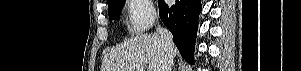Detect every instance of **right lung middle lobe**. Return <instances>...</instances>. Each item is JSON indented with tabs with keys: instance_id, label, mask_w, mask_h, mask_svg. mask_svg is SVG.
I'll return each instance as SVG.
<instances>
[{
	"instance_id": "obj_1",
	"label": "right lung middle lobe",
	"mask_w": 301,
	"mask_h": 71,
	"mask_svg": "<svg viewBox=\"0 0 301 71\" xmlns=\"http://www.w3.org/2000/svg\"><path fill=\"white\" fill-rule=\"evenodd\" d=\"M124 2L125 0H112L108 3V14L111 21L119 19Z\"/></svg>"
}]
</instances>
